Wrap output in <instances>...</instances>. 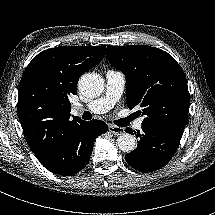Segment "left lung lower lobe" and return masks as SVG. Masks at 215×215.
<instances>
[{"label":"left lung lower lobe","mask_w":215,"mask_h":215,"mask_svg":"<svg viewBox=\"0 0 215 215\" xmlns=\"http://www.w3.org/2000/svg\"><path fill=\"white\" fill-rule=\"evenodd\" d=\"M185 126L142 125L134 133L140 138L137 148L125 156L127 163L140 172H151L164 167L175 154ZM126 132L133 133L127 128Z\"/></svg>","instance_id":"obj_1"}]
</instances>
